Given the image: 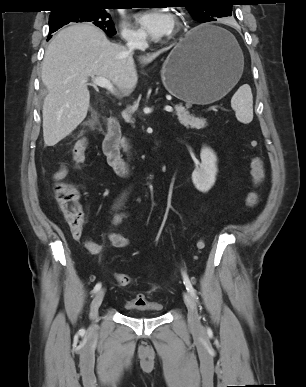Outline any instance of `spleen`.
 I'll return each instance as SVG.
<instances>
[{
  "label": "spleen",
  "mask_w": 306,
  "mask_h": 387,
  "mask_svg": "<svg viewBox=\"0 0 306 387\" xmlns=\"http://www.w3.org/2000/svg\"><path fill=\"white\" fill-rule=\"evenodd\" d=\"M231 107L238 121L248 124L253 120V96L248 84L242 85L231 99Z\"/></svg>",
  "instance_id": "obj_1"
}]
</instances>
